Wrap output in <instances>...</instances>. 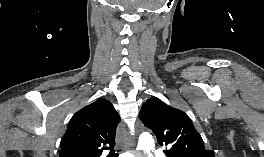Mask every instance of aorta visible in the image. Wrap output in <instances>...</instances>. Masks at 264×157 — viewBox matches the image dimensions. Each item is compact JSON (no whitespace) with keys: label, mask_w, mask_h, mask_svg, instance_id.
Instances as JSON below:
<instances>
[{"label":"aorta","mask_w":264,"mask_h":157,"mask_svg":"<svg viewBox=\"0 0 264 157\" xmlns=\"http://www.w3.org/2000/svg\"><path fill=\"white\" fill-rule=\"evenodd\" d=\"M138 147L147 152L149 157H151V151L154 149V140L151 135L149 134H143L139 138Z\"/></svg>","instance_id":"762f6f07"}]
</instances>
